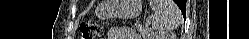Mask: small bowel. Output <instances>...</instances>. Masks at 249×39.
<instances>
[{
  "mask_svg": "<svg viewBox=\"0 0 249 39\" xmlns=\"http://www.w3.org/2000/svg\"><path fill=\"white\" fill-rule=\"evenodd\" d=\"M110 32L112 34H115L123 38L133 39L135 37V33L131 29H128V28L113 27L110 29Z\"/></svg>",
  "mask_w": 249,
  "mask_h": 39,
  "instance_id": "1",
  "label": "small bowel"
}]
</instances>
